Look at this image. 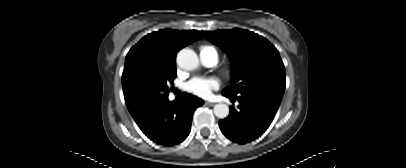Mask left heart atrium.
I'll list each match as a JSON object with an SVG mask.
<instances>
[{"instance_id":"left-heart-atrium-1","label":"left heart atrium","mask_w":406,"mask_h":168,"mask_svg":"<svg viewBox=\"0 0 406 168\" xmlns=\"http://www.w3.org/2000/svg\"><path fill=\"white\" fill-rule=\"evenodd\" d=\"M218 86L219 82L215 78L195 77L188 82L187 89L199 97H208Z\"/></svg>"}]
</instances>
